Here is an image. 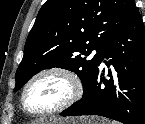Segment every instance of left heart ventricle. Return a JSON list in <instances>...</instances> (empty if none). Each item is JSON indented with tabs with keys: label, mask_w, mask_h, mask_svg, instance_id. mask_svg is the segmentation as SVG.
<instances>
[{
	"label": "left heart ventricle",
	"mask_w": 145,
	"mask_h": 124,
	"mask_svg": "<svg viewBox=\"0 0 145 124\" xmlns=\"http://www.w3.org/2000/svg\"><path fill=\"white\" fill-rule=\"evenodd\" d=\"M69 91V85L62 77H44L29 89L26 94V104L34 111L48 109L63 101Z\"/></svg>",
	"instance_id": "obj_1"
}]
</instances>
